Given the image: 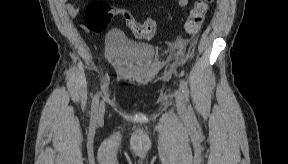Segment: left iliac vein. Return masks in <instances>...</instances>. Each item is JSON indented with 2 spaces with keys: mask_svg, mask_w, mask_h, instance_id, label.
Listing matches in <instances>:
<instances>
[{
  "mask_svg": "<svg viewBox=\"0 0 288 164\" xmlns=\"http://www.w3.org/2000/svg\"><path fill=\"white\" fill-rule=\"evenodd\" d=\"M176 96V107L177 111L182 119H188L189 118V113L187 110L186 102H185V97L181 90H176L175 92Z\"/></svg>",
  "mask_w": 288,
  "mask_h": 164,
  "instance_id": "4c4485c4",
  "label": "left iliac vein"
}]
</instances>
